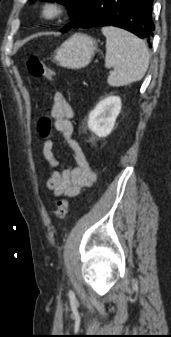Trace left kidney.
<instances>
[{"instance_id":"obj_1","label":"left kidney","mask_w":171,"mask_h":337,"mask_svg":"<svg viewBox=\"0 0 171 337\" xmlns=\"http://www.w3.org/2000/svg\"><path fill=\"white\" fill-rule=\"evenodd\" d=\"M121 111V99L109 96L101 100L90 112L88 127L99 137L108 136L114 128L116 118Z\"/></svg>"}]
</instances>
